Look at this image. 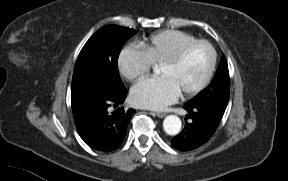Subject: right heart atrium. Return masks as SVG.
I'll use <instances>...</instances> for the list:
<instances>
[{
    "label": "right heart atrium",
    "instance_id": "obj_1",
    "mask_svg": "<svg viewBox=\"0 0 288 181\" xmlns=\"http://www.w3.org/2000/svg\"><path fill=\"white\" fill-rule=\"evenodd\" d=\"M117 66L127 80L136 81L150 72L152 64L139 46L130 44L120 51Z\"/></svg>",
    "mask_w": 288,
    "mask_h": 181
}]
</instances>
